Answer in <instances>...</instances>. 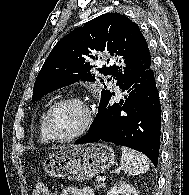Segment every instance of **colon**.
<instances>
[{
    "mask_svg": "<svg viewBox=\"0 0 189 195\" xmlns=\"http://www.w3.org/2000/svg\"><path fill=\"white\" fill-rule=\"evenodd\" d=\"M31 195H53V194L44 183L37 182L32 188Z\"/></svg>",
    "mask_w": 189,
    "mask_h": 195,
    "instance_id": "1",
    "label": "colon"
}]
</instances>
